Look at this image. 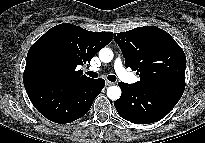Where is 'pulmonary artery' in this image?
Masks as SVG:
<instances>
[{
    "label": "pulmonary artery",
    "instance_id": "pulmonary-artery-1",
    "mask_svg": "<svg viewBox=\"0 0 205 143\" xmlns=\"http://www.w3.org/2000/svg\"><path fill=\"white\" fill-rule=\"evenodd\" d=\"M114 69L118 77L124 82L135 83L137 81V78L133 74L126 71L120 58H117L115 60ZM91 70L98 71L100 70V68L97 66H94V67H91Z\"/></svg>",
    "mask_w": 205,
    "mask_h": 143
}]
</instances>
